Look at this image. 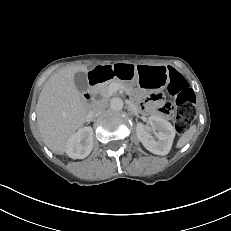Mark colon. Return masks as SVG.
Returning a JSON list of instances; mask_svg holds the SVG:
<instances>
[{"label":"colon","instance_id":"5ec220e1","mask_svg":"<svg viewBox=\"0 0 231 231\" xmlns=\"http://www.w3.org/2000/svg\"><path fill=\"white\" fill-rule=\"evenodd\" d=\"M168 91L174 96V104L157 100V96H154L152 106L164 114L173 112L175 129L179 134H184L196 116L195 93L178 72L171 74Z\"/></svg>","mask_w":231,"mask_h":231}]
</instances>
